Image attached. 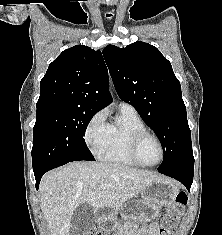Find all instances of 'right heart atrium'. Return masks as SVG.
<instances>
[{
  "label": "right heart atrium",
  "mask_w": 222,
  "mask_h": 235,
  "mask_svg": "<svg viewBox=\"0 0 222 235\" xmlns=\"http://www.w3.org/2000/svg\"><path fill=\"white\" fill-rule=\"evenodd\" d=\"M107 126L106 115L102 110L95 113L89 120L85 129L84 139L93 154H97L103 146L106 139Z\"/></svg>",
  "instance_id": "right-heart-atrium-1"
}]
</instances>
